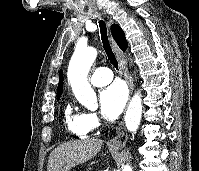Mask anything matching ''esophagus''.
I'll return each mask as SVG.
<instances>
[{"instance_id":"34e87169","label":"esophagus","mask_w":199,"mask_h":171,"mask_svg":"<svg viewBox=\"0 0 199 171\" xmlns=\"http://www.w3.org/2000/svg\"><path fill=\"white\" fill-rule=\"evenodd\" d=\"M110 22L111 21H108L109 24H110ZM113 48H114V51H115L117 58L119 60L120 68L122 69V71L124 73L125 80L128 84L129 98H130L131 95H132L133 86H134L133 85V79H132L131 75L129 74L128 70H127V67H126V64H125V57H124L123 52L119 49L117 44L114 43V42H113ZM127 140H128V134L125 130L124 123L120 122L118 124V126L116 127V136L110 140L109 145L111 147H114V148H122L126 145Z\"/></svg>"}]
</instances>
